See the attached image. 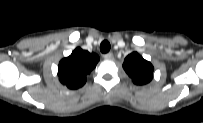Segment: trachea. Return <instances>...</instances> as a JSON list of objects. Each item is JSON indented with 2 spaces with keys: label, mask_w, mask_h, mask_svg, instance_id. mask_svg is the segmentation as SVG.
<instances>
[{
  "label": "trachea",
  "mask_w": 203,
  "mask_h": 123,
  "mask_svg": "<svg viewBox=\"0 0 203 123\" xmlns=\"http://www.w3.org/2000/svg\"><path fill=\"white\" fill-rule=\"evenodd\" d=\"M110 43L108 42V41H103L101 44H100V51L102 52V53H107V52H109V50H110Z\"/></svg>",
  "instance_id": "obj_1"
}]
</instances>
